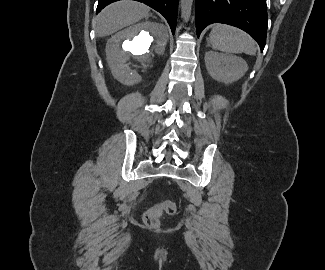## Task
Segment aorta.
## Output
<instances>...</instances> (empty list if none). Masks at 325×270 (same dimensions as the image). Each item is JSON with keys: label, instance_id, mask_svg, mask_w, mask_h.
Masks as SVG:
<instances>
[{"label": "aorta", "instance_id": "obj_1", "mask_svg": "<svg viewBox=\"0 0 325 270\" xmlns=\"http://www.w3.org/2000/svg\"><path fill=\"white\" fill-rule=\"evenodd\" d=\"M193 0H181V16L185 22L190 19Z\"/></svg>", "mask_w": 325, "mask_h": 270}]
</instances>
